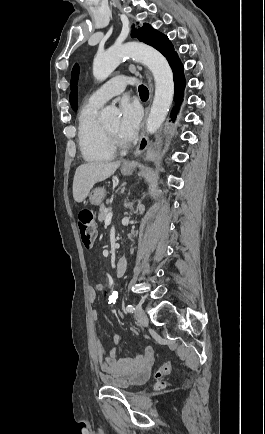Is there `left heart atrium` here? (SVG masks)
<instances>
[{"label":"left heart atrium","mask_w":265,"mask_h":434,"mask_svg":"<svg viewBox=\"0 0 265 434\" xmlns=\"http://www.w3.org/2000/svg\"><path fill=\"white\" fill-rule=\"evenodd\" d=\"M121 118L118 125V134L124 141H131L137 134L142 117L139 104L122 98L120 103Z\"/></svg>","instance_id":"39dd6f15"}]
</instances>
